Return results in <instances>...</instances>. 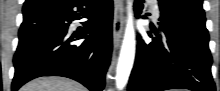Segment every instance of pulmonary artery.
I'll list each match as a JSON object with an SVG mask.
<instances>
[{
	"mask_svg": "<svg viewBox=\"0 0 220 91\" xmlns=\"http://www.w3.org/2000/svg\"><path fill=\"white\" fill-rule=\"evenodd\" d=\"M152 11H153V15H154L155 19H159V16H160L159 10L155 4L152 7Z\"/></svg>",
	"mask_w": 220,
	"mask_h": 91,
	"instance_id": "obj_1",
	"label": "pulmonary artery"
}]
</instances>
